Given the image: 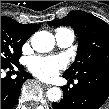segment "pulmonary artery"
Here are the masks:
<instances>
[{"instance_id":"e3ab8cb5","label":"pulmonary artery","mask_w":109,"mask_h":109,"mask_svg":"<svg viewBox=\"0 0 109 109\" xmlns=\"http://www.w3.org/2000/svg\"><path fill=\"white\" fill-rule=\"evenodd\" d=\"M55 40L59 47L67 48L73 44L75 35L74 32L69 29L60 28L55 33Z\"/></svg>"}]
</instances>
